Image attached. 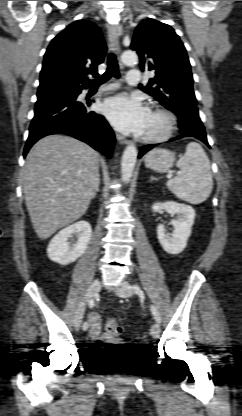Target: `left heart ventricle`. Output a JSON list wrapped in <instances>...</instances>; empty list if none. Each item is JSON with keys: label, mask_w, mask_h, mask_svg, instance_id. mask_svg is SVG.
I'll use <instances>...</instances> for the list:
<instances>
[{"label": "left heart ventricle", "mask_w": 242, "mask_h": 416, "mask_svg": "<svg viewBox=\"0 0 242 416\" xmlns=\"http://www.w3.org/2000/svg\"><path fill=\"white\" fill-rule=\"evenodd\" d=\"M163 125V118L157 114L149 112L144 132L142 135H148L158 132Z\"/></svg>", "instance_id": "b2bd125f"}]
</instances>
